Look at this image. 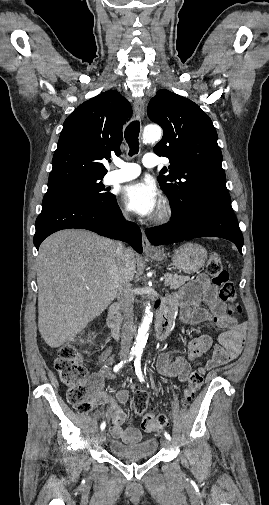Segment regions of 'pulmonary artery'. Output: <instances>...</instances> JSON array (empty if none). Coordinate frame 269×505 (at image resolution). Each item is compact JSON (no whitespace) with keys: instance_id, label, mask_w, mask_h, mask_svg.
<instances>
[{"instance_id":"1","label":"pulmonary artery","mask_w":269,"mask_h":505,"mask_svg":"<svg viewBox=\"0 0 269 505\" xmlns=\"http://www.w3.org/2000/svg\"><path fill=\"white\" fill-rule=\"evenodd\" d=\"M143 165L151 168L159 164V159L155 154L148 153L143 157ZM114 164L117 169L111 171L107 175L108 183H121L136 178L140 174V167L135 163L124 162L120 159H115Z\"/></svg>"}]
</instances>
